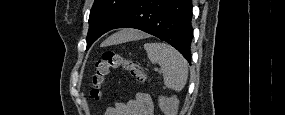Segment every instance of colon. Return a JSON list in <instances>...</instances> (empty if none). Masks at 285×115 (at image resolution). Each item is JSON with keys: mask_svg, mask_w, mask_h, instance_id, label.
Here are the masks:
<instances>
[{"mask_svg": "<svg viewBox=\"0 0 285 115\" xmlns=\"http://www.w3.org/2000/svg\"><path fill=\"white\" fill-rule=\"evenodd\" d=\"M122 68L137 81L143 82L146 79L143 68L137 63L126 59L114 52H104L102 59L95 64L94 73L91 76L90 96L94 100H100L102 97V87L113 70Z\"/></svg>", "mask_w": 285, "mask_h": 115, "instance_id": "1", "label": "colon"}]
</instances>
